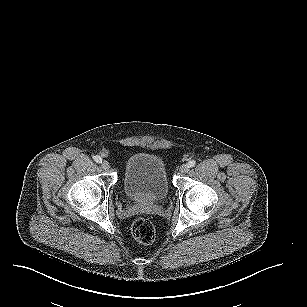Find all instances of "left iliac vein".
Returning a JSON list of instances; mask_svg holds the SVG:
<instances>
[{
	"instance_id": "left-iliac-vein-1",
	"label": "left iliac vein",
	"mask_w": 307,
	"mask_h": 307,
	"mask_svg": "<svg viewBox=\"0 0 307 307\" xmlns=\"http://www.w3.org/2000/svg\"><path fill=\"white\" fill-rule=\"evenodd\" d=\"M189 171V166L187 164H182L180 167H179V172L181 174H185Z\"/></svg>"
}]
</instances>
